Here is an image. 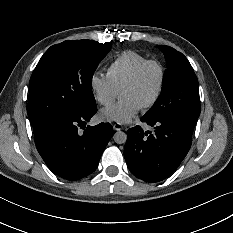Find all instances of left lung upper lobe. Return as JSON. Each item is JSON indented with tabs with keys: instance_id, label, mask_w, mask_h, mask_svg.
<instances>
[{
	"instance_id": "1",
	"label": "left lung upper lobe",
	"mask_w": 233,
	"mask_h": 233,
	"mask_svg": "<svg viewBox=\"0 0 233 233\" xmlns=\"http://www.w3.org/2000/svg\"><path fill=\"white\" fill-rule=\"evenodd\" d=\"M167 70L159 98L146 112L147 120L190 119L197 121L201 107L198 80L187 58L174 48L159 46Z\"/></svg>"
}]
</instances>
